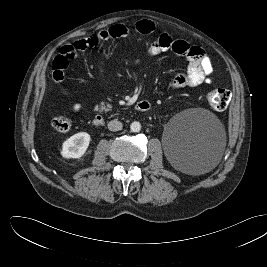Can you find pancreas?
Listing matches in <instances>:
<instances>
[{
    "label": "pancreas",
    "instance_id": "pancreas-1",
    "mask_svg": "<svg viewBox=\"0 0 267 267\" xmlns=\"http://www.w3.org/2000/svg\"><path fill=\"white\" fill-rule=\"evenodd\" d=\"M111 108H112L111 104L105 103V102H101L100 106H96L95 107V110L96 111H105V112H107V111L111 110Z\"/></svg>",
    "mask_w": 267,
    "mask_h": 267
}]
</instances>
